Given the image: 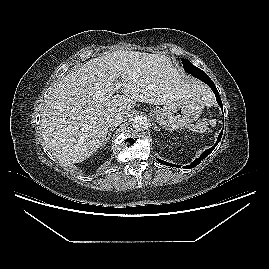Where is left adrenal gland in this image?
Instances as JSON below:
<instances>
[{
  "label": "left adrenal gland",
  "mask_w": 269,
  "mask_h": 269,
  "mask_svg": "<svg viewBox=\"0 0 269 269\" xmlns=\"http://www.w3.org/2000/svg\"><path fill=\"white\" fill-rule=\"evenodd\" d=\"M156 130H158V131H160V129L158 128V126L157 125H155V127H154Z\"/></svg>",
  "instance_id": "obj_1"
}]
</instances>
